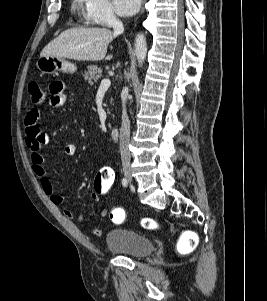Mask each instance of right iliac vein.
Segmentation results:
<instances>
[{
	"label": "right iliac vein",
	"mask_w": 267,
	"mask_h": 301,
	"mask_svg": "<svg viewBox=\"0 0 267 301\" xmlns=\"http://www.w3.org/2000/svg\"><path fill=\"white\" fill-rule=\"evenodd\" d=\"M123 173H124L126 180L128 182H131L132 181V171H131V167L129 165H125L123 167Z\"/></svg>",
	"instance_id": "obj_1"
}]
</instances>
